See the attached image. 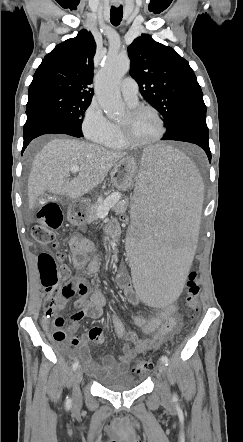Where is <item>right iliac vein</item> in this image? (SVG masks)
Returning a JSON list of instances; mask_svg holds the SVG:
<instances>
[{
	"label": "right iliac vein",
	"mask_w": 243,
	"mask_h": 442,
	"mask_svg": "<svg viewBox=\"0 0 243 442\" xmlns=\"http://www.w3.org/2000/svg\"><path fill=\"white\" fill-rule=\"evenodd\" d=\"M82 378H83V371L81 367H79L75 372L74 383H73L72 401L74 407H78L81 404V392L79 384L82 381Z\"/></svg>",
	"instance_id": "obj_1"
}]
</instances>
